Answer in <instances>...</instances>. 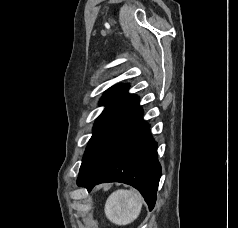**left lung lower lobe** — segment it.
I'll use <instances>...</instances> for the list:
<instances>
[{"mask_svg":"<svg viewBox=\"0 0 238 228\" xmlns=\"http://www.w3.org/2000/svg\"><path fill=\"white\" fill-rule=\"evenodd\" d=\"M142 108L120 129L97 168L87 176L78 177L77 185L91 190L102 182H123L138 189L150 210L156 201L161 166L157 159V143L142 121Z\"/></svg>","mask_w":238,"mask_h":228,"instance_id":"left-lung-lower-lobe-1","label":"left lung lower lobe"}]
</instances>
